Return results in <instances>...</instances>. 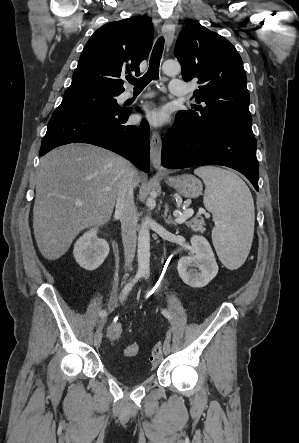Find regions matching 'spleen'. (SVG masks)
Masks as SVG:
<instances>
[{"label": "spleen", "instance_id": "3e777b00", "mask_svg": "<svg viewBox=\"0 0 299 443\" xmlns=\"http://www.w3.org/2000/svg\"><path fill=\"white\" fill-rule=\"evenodd\" d=\"M206 189L204 205L213 214L212 241L221 262L230 270L246 260L254 233V203L243 180L229 170L213 166L197 168Z\"/></svg>", "mask_w": 299, "mask_h": 443}]
</instances>
